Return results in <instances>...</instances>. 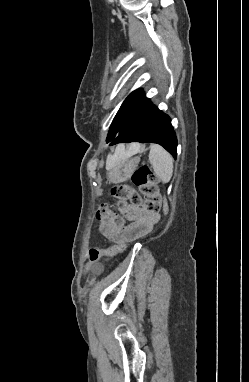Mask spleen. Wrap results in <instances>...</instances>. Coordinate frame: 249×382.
Masks as SVG:
<instances>
[{"mask_svg":"<svg viewBox=\"0 0 249 382\" xmlns=\"http://www.w3.org/2000/svg\"><path fill=\"white\" fill-rule=\"evenodd\" d=\"M149 161L155 174L162 182L167 183L171 180L173 174V158L163 147L158 144L151 145Z\"/></svg>","mask_w":249,"mask_h":382,"instance_id":"spleen-1","label":"spleen"}]
</instances>
